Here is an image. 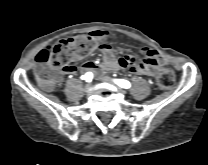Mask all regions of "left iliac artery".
I'll return each mask as SVG.
<instances>
[{"label":"left iliac artery","instance_id":"44dca946","mask_svg":"<svg viewBox=\"0 0 208 165\" xmlns=\"http://www.w3.org/2000/svg\"><path fill=\"white\" fill-rule=\"evenodd\" d=\"M114 81H115V83H116L117 85H119V86L122 87V88L127 89V88L130 87V82H128L127 80L116 79V80H114Z\"/></svg>","mask_w":208,"mask_h":165}]
</instances>
